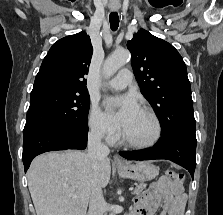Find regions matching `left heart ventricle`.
Wrapping results in <instances>:
<instances>
[{
    "label": "left heart ventricle",
    "instance_id": "left-heart-ventricle-1",
    "mask_svg": "<svg viewBox=\"0 0 223 215\" xmlns=\"http://www.w3.org/2000/svg\"><path fill=\"white\" fill-rule=\"evenodd\" d=\"M154 133V125L150 117L137 110L129 122L121 128V138L136 143L149 141Z\"/></svg>",
    "mask_w": 223,
    "mask_h": 215
}]
</instances>
